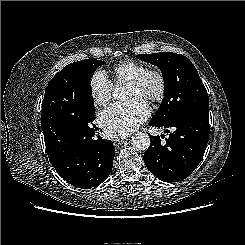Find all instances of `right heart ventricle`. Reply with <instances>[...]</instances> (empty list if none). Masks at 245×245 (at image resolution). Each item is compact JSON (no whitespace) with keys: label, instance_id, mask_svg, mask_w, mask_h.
<instances>
[{"label":"right heart ventricle","instance_id":"right-heart-ventricle-1","mask_svg":"<svg viewBox=\"0 0 245 245\" xmlns=\"http://www.w3.org/2000/svg\"><path fill=\"white\" fill-rule=\"evenodd\" d=\"M148 66L136 60H124L116 64L109 72L111 82L114 85L126 84L138 77Z\"/></svg>","mask_w":245,"mask_h":245}]
</instances>
